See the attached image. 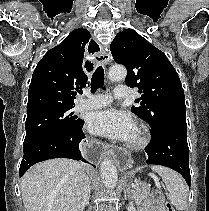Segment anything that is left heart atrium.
Returning a JSON list of instances; mask_svg holds the SVG:
<instances>
[{
    "instance_id": "left-heart-atrium-1",
    "label": "left heart atrium",
    "mask_w": 209,
    "mask_h": 211,
    "mask_svg": "<svg viewBox=\"0 0 209 211\" xmlns=\"http://www.w3.org/2000/svg\"><path fill=\"white\" fill-rule=\"evenodd\" d=\"M87 127L93 134L118 141H130L136 131L132 116L115 108L92 113Z\"/></svg>"
}]
</instances>
